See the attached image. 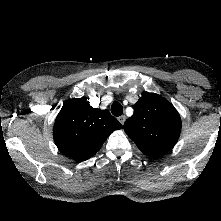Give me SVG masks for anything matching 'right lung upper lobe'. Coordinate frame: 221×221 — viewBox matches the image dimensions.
Here are the masks:
<instances>
[{
    "label": "right lung upper lobe",
    "instance_id": "obj_1",
    "mask_svg": "<svg viewBox=\"0 0 221 221\" xmlns=\"http://www.w3.org/2000/svg\"><path fill=\"white\" fill-rule=\"evenodd\" d=\"M121 123L108 110L90 106L85 99H72L59 112L53 137L58 149L67 157L84 161L96 154Z\"/></svg>",
    "mask_w": 221,
    "mask_h": 221
}]
</instances>
